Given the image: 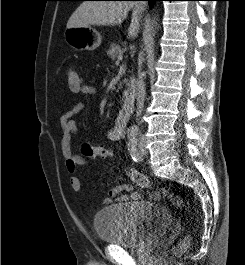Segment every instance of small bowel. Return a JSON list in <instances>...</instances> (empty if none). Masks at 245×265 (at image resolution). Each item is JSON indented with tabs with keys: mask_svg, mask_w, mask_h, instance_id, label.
Instances as JSON below:
<instances>
[{
	"mask_svg": "<svg viewBox=\"0 0 245 265\" xmlns=\"http://www.w3.org/2000/svg\"><path fill=\"white\" fill-rule=\"evenodd\" d=\"M83 95L93 96L97 93V89L93 85L82 83L79 92ZM85 108L84 102L76 103L72 109L67 111L60 118L61 125V149L63 158L65 161V167L67 171L72 174L69 178V184L73 191L81 192L82 183L75 172L78 168H85L89 165L88 161L75 153L72 140L74 135L77 133V124L73 119V116L80 113ZM124 136V126L120 123L113 125L107 130V137L109 140L118 141ZM150 198L153 200L160 199L158 192H152ZM140 199V194L129 184H120L111 188L108 192V196L103 200V204H110L111 202H126V201H137Z\"/></svg>",
	"mask_w": 245,
	"mask_h": 265,
	"instance_id": "small-bowel-1",
	"label": "small bowel"
}]
</instances>
